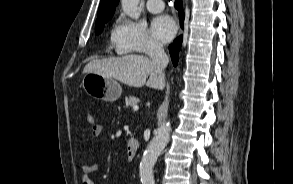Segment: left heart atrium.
I'll list each match as a JSON object with an SVG mask.
<instances>
[{
    "label": "left heart atrium",
    "instance_id": "39dd6f15",
    "mask_svg": "<svg viewBox=\"0 0 293 184\" xmlns=\"http://www.w3.org/2000/svg\"><path fill=\"white\" fill-rule=\"evenodd\" d=\"M151 32L157 40L167 42L174 36L176 24L171 17L162 15L153 20Z\"/></svg>",
    "mask_w": 293,
    "mask_h": 184
}]
</instances>
